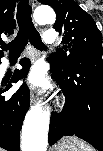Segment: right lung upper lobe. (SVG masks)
<instances>
[{
  "instance_id": "1",
  "label": "right lung upper lobe",
  "mask_w": 103,
  "mask_h": 151,
  "mask_svg": "<svg viewBox=\"0 0 103 151\" xmlns=\"http://www.w3.org/2000/svg\"><path fill=\"white\" fill-rule=\"evenodd\" d=\"M16 2L17 0H0V41L1 35L9 36L14 33L16 28L14 18Z\"/></svg>"
}]
</instances>
